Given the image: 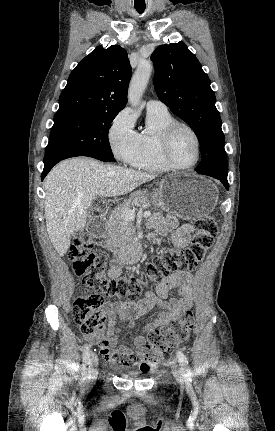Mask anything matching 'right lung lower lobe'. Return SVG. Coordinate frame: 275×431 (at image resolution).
I'll return each mask as SVG.
<instances>
[{"label": "right lung lower lobe", "mask_w": 275, "mask_h": 431, "mask_svg": "<svg viewBox=\"0 0 275 431\" xmlns=\"http://www.w3.org/2000/svg\"><path fill=\"white\" fill-rule=\"evenodd\" d=\"M76 156H88V157L96 158V159L101 160V161L109 162L108 159H106L105 157H103L100 154H97V153H94L91 151H87V150H80V149H78V150H65V151H61V152L45 154L44 170L41 174L42 180L47 175V173L51 170V168L55 164H57L59 161L70 158V157H76Z\"/></svg>", "instance_id": "98d812e1"}]
</instances>
